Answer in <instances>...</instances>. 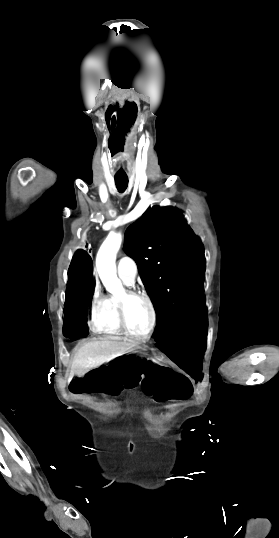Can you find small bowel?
<instances>
[{
  "label": "small bowel",
  "instance_id": "small-bowel-1",
  "mask_svg": "<svg viewBox=\"0 0 279 538\" xmlns=\"http://www.w3.org/2000/svg\"><path fill=\"white\" fill-rule=\"evenodd\" d=\"M144 393L159 403L188 400L192 395L187 377L170 369H156L142 379Z\"/></svg>",
  "mask_w": 279,
  "mask_h": 538
}]
</instances>
